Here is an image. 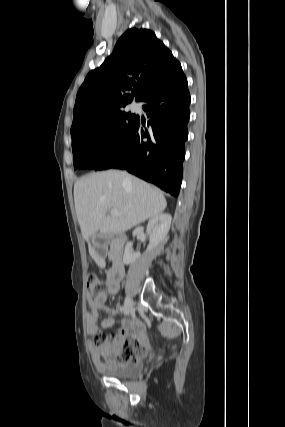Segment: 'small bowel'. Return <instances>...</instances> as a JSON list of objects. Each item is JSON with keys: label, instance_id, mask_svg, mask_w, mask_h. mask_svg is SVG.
Instances as JSON below:
<instances>
[{"label": "small bowel", "instance_id": "obj_1", "mask_svg": "<svg viewBox=\"0 0 285 427\" xmlns=\"http://www.w3.org/2000/svg\"><path fill=\"white\" fill-rule=\"evenodd\" d=\"M120 280L107 279V291L99 295L93 296L89 294L87 301L89 305V312L87 314V331L90 335L96 336L102 334L103 329L113 327L120 324L117 330V336L114 339L111 352L117 357L120 355L122 347L127 343V340L131 336H136L141 343L145 346L143 338L142 326L136 321L130 320H117L113 317L114 314L120 309L119 306L110 308L106 305L108 295L116 294L119 289ZM100 311L105 312L109 317L100 319ZM93 361L97 368L104 369L105 367L112 366H123L127 363H120L117 360H113L111 357H105V361L100 359L99 353L100 347L92 342L90 344Z\"/></svg>", "mask_w": 285, "mask_h": 427}]
</instances>
